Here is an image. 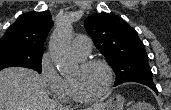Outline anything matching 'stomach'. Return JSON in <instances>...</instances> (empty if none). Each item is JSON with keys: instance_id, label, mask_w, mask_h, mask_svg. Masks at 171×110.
Segmentation results:
<instances>
[{"instance_id": "1", "label": "stomach", "mask_w": 171, "mask_h": 110, "mask_svg": "<svg viewBox=\"0 0 171 110\" xmlns=\"http://www.w3.org/2000/svg\"><path fill=\"white\" fill-rule=\"evenodd\" d=\"M124 98L115 95L111 97L105 104H102L98 108H93L91 110H123Z\"/></svg>"}]
</instances>
